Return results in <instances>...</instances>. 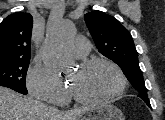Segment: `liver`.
<instances>
[{
    "instance_id": "6515ba94",
    "label": "liver",
    "mask_w": 165,
    "mask_h": 120,
    "mask_svg": "<svg viewBox=\"0 0 165 120\" xmlns=\"http://www.w3.org/2000/svg\"><path fill=\"white\" fill-rule=\"evenodd\" d=\"M86 110L60 112L33 98L0 87V120H77Z\"/></svg>"
}]
</instances>
